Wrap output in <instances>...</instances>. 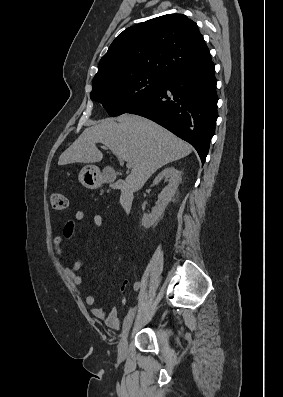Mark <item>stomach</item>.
Wrapping results in <instances>:
<instances>
[{"label":"stomach","instance_id":"1","mask_svg":"<svg viewBox=\"0 0 283 397\" xmlns=\"http://www.w3.org/2000/svg\"><path fill=\"white\" fill-rule=\"evenodd\" d=\"M105 175L94 165L84 166L79 173V181L88 189H96L101 186Z\"/></svg>","mask_w":283,"mask_h":397}]
</instances>
